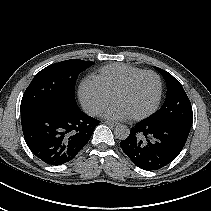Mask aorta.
Instances as JSON below:
<instances>
[{
	"label": "aorta",
	"instance_id": "aorta-1",
	"mask_svg": "<svg viewBox=\"0 0 211 211\" xmlns=\"http://www.w3.org/2000/svg\"><path fill=\"white\" fill-rule=\"evenodd\" d=\"M130 134V129L126 125H117L114 130V135L119 140H125Z\"/></svg>",
	"mask_w": 211,
	"mask_h": 211
}]
</instances>
